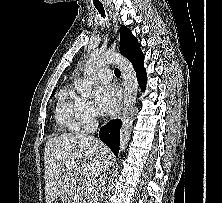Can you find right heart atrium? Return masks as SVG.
Segmentation results:
<instances>
[{
  "instance_id": "obj_1",
  "label": "right heart atrium",
  "mask_w": 222,
  "mask_h": 203,
  "mask_svg": "<svg viewBox=\"0 0 222 203\" xmlns=\"http://www.w3.org/2000/svg\"><path fill=\"white\" fill-rule=\"evenodd\" d=\"M73 103L80 127L86 130L94 128L98 122L99 113L92 101L83 96H76Z\"/></svg>"
}]
</instances>
